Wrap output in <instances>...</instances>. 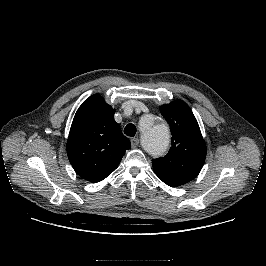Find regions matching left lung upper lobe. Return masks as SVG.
Here are the masks:
<instances>
[{
  "label": "left lung upper lobe",
  "instance_id": "obj_1",
  "mask_svg": "<svg viewBox=\"0 0 266 266\" xmlns=\"http://www.w3.org/2000/svg\"><path fill=\"white\" fill-rule=\"evenodd\" d=\"M160 112L170 125L172 146L166 156L153 159L152 166L164 183L177 187L199 174L207 148L197 120L184 101L163 105Z\"/></svg>",
  "mask_w": 266,
  "mask_h": 266
}]
</instances>
